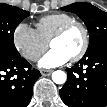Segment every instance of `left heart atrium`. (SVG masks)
Returning <instances> with one entry per match:
<instances>
[{
	"instance_id": "1",
	"label": "left heart atrium",
	"mask_w": 107,
	"mask_h": 107,
	"mask_svg": "<svg viewBox=\"0 0 107 107\" xmlns=\"http://www.w3.org/2000/svg\"><path fill=\"white\" fill-rule=\"evenodd\" d=\"M70 58L59 49L52 48L40 60L41 68H53L65 64Z\"/></svg>"
}]
</instances>
